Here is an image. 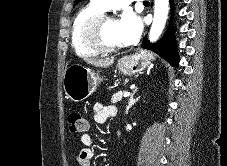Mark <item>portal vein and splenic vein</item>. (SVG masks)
Returning <instances> with one entry per match:
<instances>
[{
	"label": "portal vein and splenic vein",
	"mask_w": 227,
	"mask_h": 166,
	"mask_svg": "<svg viewBox=\"0 0 227 166\" xmlns=\"http://www.w3.org/2000/svg\"><path fill=\"white\" fill-rule=\"evenodd\" d=\"M128 96H130V92L124 93V97H128Z\"/></svg>",
	"instance_id": "18ae733b"
}]
</instances>
